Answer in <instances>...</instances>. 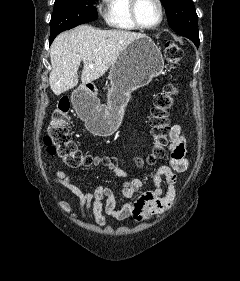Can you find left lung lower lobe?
Returning a JSON list of instances; mask_svg holds the SVG:
<instances>
[{"label":"left lung lower lobe","instance_id":"left-lung-lower-lobe-1","mask_svg":"<svg viewBox=\"0 0 240 281\" xmlns=\"http://www.w3.org/2000/svg\"><path fill=\"white\" fill-rule=\"evenodd\" d=\"M193 42L195 43V45L198 47L199 46V37L194 39Z\"/></svg>","mask_w":240,"mask_h":281}]
</instances>
